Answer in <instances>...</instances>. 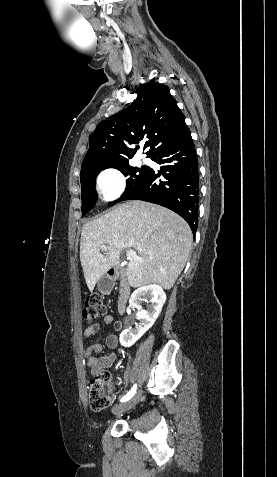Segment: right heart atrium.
I'll list each match as a JSON object with an SVG mask.
<instances>
[{"label": "right heart atrium", "instance_id": "obj_1", "mask_svg": "<svg viewBox=\"0 0 277 477\" xmlns=\"http://www.w3.org/2000/svg\"><path fill=\"white\" fill-rule=\"evenodd\" d=\"M97 186L106 201H112L121 196L125 189V177L115 167L102 170L97 176Z\"/></svg>", "mask_w": 277, "mask_h": 477}]
</instances>
